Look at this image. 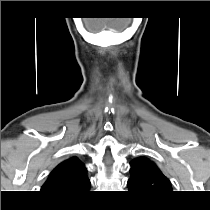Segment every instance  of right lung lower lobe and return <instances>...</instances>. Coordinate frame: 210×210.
Masks as SVG:
<instances>
[{
    "label": "right lung lower lobe",
    "instance_id": "98d812e1",
    "mask_svg": "<svg viewBox=\"0 0 210 210\" xmlns=\"http://www.w3.org/2000/svg\"><path fill=\"white\" fill-rule=\"evenodd\" d=\"M80 198V197H79ZM79 198H64V199H59V200H63V201H73V200H77Z\"/></svg>",
    "mask_w": 210,
    "mask_h": 210
}]
</instances>
